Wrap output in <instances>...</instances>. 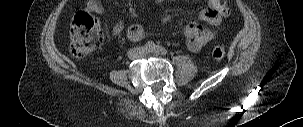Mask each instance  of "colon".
<instances>
[{"instance_id": "colon-1", "label": "colon", "mask_w": 303, "mask_h": 127, "mask_svg": "<svg viewBox=\"0 0 303 127\" xmlns=\"http://www.w3.org/2000/svg\"><path fill=\"white\" fill-rule=\"evenodd\" d=\"M70 38L76 56H84L96 50L103 41L98 20L85 11L78 12L72 20ZM211 56L220 61L224 58L225 51L221 47H214Z\"/></svg>"}]
</instances>
